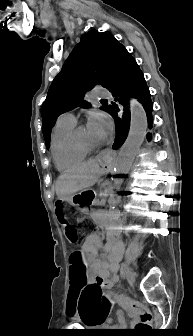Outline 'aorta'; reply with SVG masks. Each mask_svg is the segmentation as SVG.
Segmentation results:
<instances>
[{
	"mask_svg": "<svg viewBox=\"0 0 193 336\" xmlns=\"http://www.w3.org/2000/svg\"><path fill=\"white\" fill-rule=\"evenodd\" d=\"M130 115V130L126 141L120 149L118 160L114 167V172L119 177L127 174L131 169L135 156L146 136L148 125L146 112L142 104L135 98L130 100ZM120 184V179L114 181L116 187Z\"/></svg>",
	"mask_w": 193,
	"mask_h": 336,
	"instance_id": "aorta-1",
	"label": "aorta"
}]
</instances>
